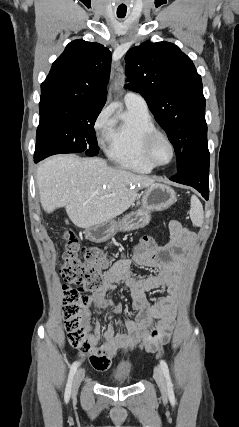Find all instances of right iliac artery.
<instances>
[{"label":"right iliac artery","mask_w":239,"mask_h":427,"mask_svg":"<svg viewBox=\"0 0 239 427\" xmlns=\"http://www.w3.org/2000/svg\"><path fill=\"white\" fill-rule=\"evenodd\" d=\"M78 366H79V362L75 361L72 364L71 368H70V372H69V376H68V381H67V384H66V389H65V394H64V399H65L66 402H68L69 399H70L71 389H72V382H73V378H74V375L76 373V370H77Z\"/></svg>","instance_id":"1"}]
</instances>
